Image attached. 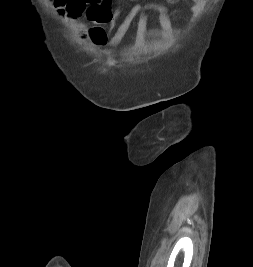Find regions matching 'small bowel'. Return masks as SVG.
<instances>
[{
  "instance_id": "obj_1",
  "label": "small bowel",
  "mask_w": 253,
  "mask_h": 267,
  "mask_svg": "<svg viewBox=\"0 0 253 267\" xmlns=\"http://www.w3.org/2000/svg\"><path fill=\"white\" fill-rule=\"evenodd\" d=\"M128 4V11L124 17L123 22L119 27L108 37L107 44L115 47L126 36L132 22L136 17L138 18L137 29L132 49L140 47L146 35L148 24V12L155 11L159 14V21L162 32L167 39L172 36V26L168 16V10L162 5H147L142 6L139 0H125ZM171 1V0H170ZM193 5L191 7L192 18L195 20L202 12L207 0H191ZM59 14L68 19L84 18L89 21L92 26H103L113 23L121 14L118 9L112 8V0H70V2L58 9ZM91 26V27H92ZM82 30L81 37L85 38V25L80 23Z\"/></svg>"
}]
</instances>
